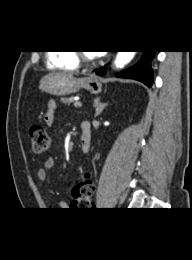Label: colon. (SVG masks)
Segmentation results:
<instances>
[{
  "label": "colon",
  "instance_id": "5ec220e1",
  "mask_svg": "<svg viewBox=\"0 0 192 260\" xmlns=\"http://www.w3.org/2000/svg\"><path fill=\"white\" fill-rule=\"evenodd\" d=\"M30 137L32 148L35 154H44L50 146V137L46 129L41 125L30 127ZM95 191V185L89 174H85L74 186L72 195L74 201L80 203H93L92 197Z\"/></svg>",
  "mask_w": 192,
  "mask_h": 260
}]
</instances>
